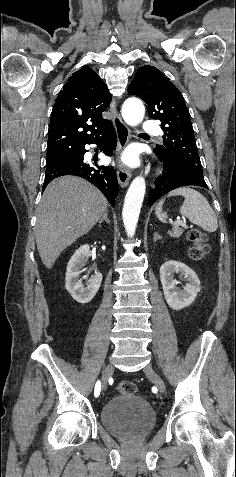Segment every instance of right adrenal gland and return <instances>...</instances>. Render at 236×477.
<instances>
[{
    "label": "right adrenal gland",
    "instance_id": "obj_1",
    "mask_svg": "<svg viewBox=\"0 0 236 477\" xmlns=\"http://www.w3.org/2000/svg\"><path fill=\"white\" fill-rule=\"evenodd\" d=\"M106 221L108 224H110V220L108 219V211H106L103 215V217L99 220V224H101L103 221Z\"/></svg>",
    "mask_w": 236,
    "mask_h": 477
}]
</instances>
